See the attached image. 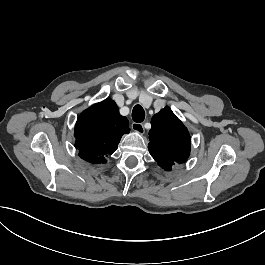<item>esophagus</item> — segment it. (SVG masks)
I'll return each mask as SVG.
<instances>
[{
	"label": "esophagus",
	"mask_w": 265,
	"mask_h": 265,
	"mask_svg": "<svg viewBox=\"0 0 265 265\" xmlns=\"http://www.w3.org/2000/svg\"><path fill=\"white\" fill-rule=\"evenodd\" d=\"M132 129L139 134L145 133V129L142 123L133 122Z\"/></svg>",
	"instance_id": "obj_1"
}]
</instances>
